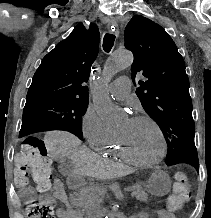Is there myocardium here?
<instances>
[{
  "label": "myocardium",
  "instance_id": "myocardium-1",
  "mask_svg": "<svg viewBox=\"0 0 211 218\" xmlns=\"http://www.w3.org/2000/svg\"><path fill=\"white\" fill-rule=\"evenodd\" d=\"M130 119L131 120H146V121L150 122L154 126V128L156 129V131H157V133L159 135V138H160L161 151H160V154H159L158 158H156L153 161L141 160V159L137 158L129 150V148L127 147L125 142L119 136L115 135V139H116V142H117L120 150L132 163H134L136 165H139V166H142V167H152V166H155V165L159 164L162 161V159L164 158V155H165V134H164L161 126L158 124V122L155 119H153L151 116H148V115H135V116H132Z\"/></svg>",
  "mask_w": 211,
  "mask_h": 218
}]
</instances>
